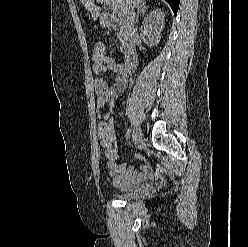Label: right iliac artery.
Here are the masks:
<instances>
[{
	"instance_id": "82829eb1",
	"label": "right iliac artery",
	"mask_w": 248,
	"mask_h": 247,
	"mask_svg": "<svg viewBox=\"0 0 248 247\" xmlns=\"http://www.w3.org/2000/svg\"><path fill=\"white\" fill-rule=\"evenodd\" d=\"M125 138H126L127 141L130 140V138H131V129L130 128L127 129Z\"/></svg>"
}]
</instances>
